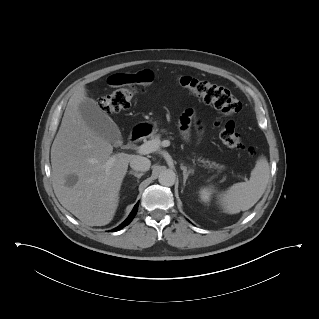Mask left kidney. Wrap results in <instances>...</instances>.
<instances>
[{
  "label": "left kidney",
  "instance_id": "5707ae66",
  "mask_svg": "<svg viewBox=\"0 0 319 319\" xmlns=\"http://www.w3.org/2000/svg\"><path fill=\"white\" fill-rule=\"evenodd\" d=\"M200 198L203 202L207 203L210 200L211 190L209 188H202L200 190Z\"/></svg>",
  "mask_w": 319,
  "mask_h": 319
}]
</instances>
